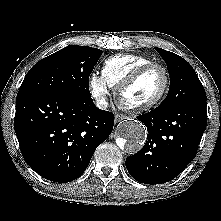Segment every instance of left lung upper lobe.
I'll use <instances>...</instances> for the list:
<instances>
[{
  "label": "left lung upper lobe",
  "mask_w": 221,
  "mask_h": 221,
  "mask_svg": "<svg viewBox=\"0 0 221 221\" xmlns=\"http://www.w3.org/2000/svg\"><path fill=\"white\" fill-rule=\"evenodd\" d=\"M167 64L170 88L161 106L173 107L188 101H206V93L195 70L182 57L155 47Z\"/></svg>",
  "instance_id": "left-lung-upper-lobe-1"
}]
</instances>
